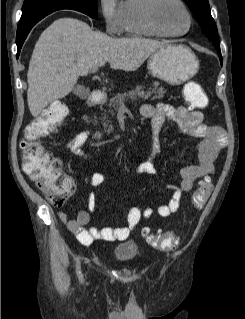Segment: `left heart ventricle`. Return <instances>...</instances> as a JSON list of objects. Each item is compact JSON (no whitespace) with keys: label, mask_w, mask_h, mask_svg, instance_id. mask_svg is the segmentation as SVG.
Wrapping results in <instances>:
<instances>
[{"label":"left heart ventricle","mask_w":245,"mask_h":319,"mask_svg":"<svg viewBox=\"0 0 245 319\" xmlns=\"http://www.w3.org/2000/svg\"><path fill=\"white\" fill-rule=\"evenodd\" d=\"M161 23L172 32L184 31L188 24L184 10L175 2L165 0L158 8Z\"/></svg>","instance_id":"obj_1"}]
</instances>
